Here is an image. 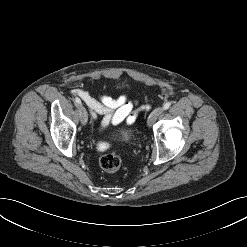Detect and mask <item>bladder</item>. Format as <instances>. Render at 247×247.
I'll return each mask as SVG.
<instances>
[{
    "instance_id": "obj_1",
    "label": "bladder",
    "mask_w": 247,
    "mask_h": 247,
    "mask_svg": "<svg viewBox=\"0 0 247 247\" xmlns=\"http://www.w3.org/2000/svg\"><path fill=\"white\" fill-rule=\"evenodd\" d=\"M132 132L129 130H123L121 132V137L124 141H130L132 139Z\"/></svg>"
}]
</instances>
